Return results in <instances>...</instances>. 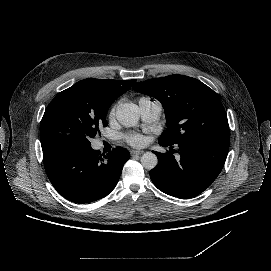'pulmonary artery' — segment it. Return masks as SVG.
I'll list each match as a JSON object with an SVG mask.
<instances>
[{
    "label": "pulmonary artery",
    "instance_id": "e3ab8cb5",
    "mask_svg": "<svg viewBox=\"0 0 271 271\" xmlns=\"http://www.w3.org/2000/svg\"><path fill=\"white\" fill-rule=\"evenodd\" d=\"M142 119L147 123H153L158 120L161 112V105L158 101L151 99H142L139 101ZM95 149L101 148V143L94 144Z\"/></svg>",
    "mask_w": 271,
    "mask_h": 271
}]
</instances>
